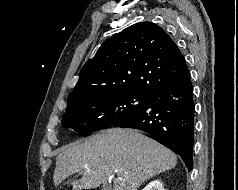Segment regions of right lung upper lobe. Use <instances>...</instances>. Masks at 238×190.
Returning <instances> with one entry per match:
<instances>
[{
    "label": "right lung upper lobe",
    "mask_w": 238,
    "mask_h": 190,
    "mask_svg": "<svg viewBox=\"0 0 238 190\" xmlns=\"http://www.w3.org/2000/svg\"><path fill=\"white\" fill-rule=\"evenodd\" d=\"M186 70L185 58L169 35L152 22H140L108 38L84 64L67 108L94 95L150 97Z\"/></svg>",
    "instance_id": "right-lung-upper-lobe-1"
}]
</instances>
